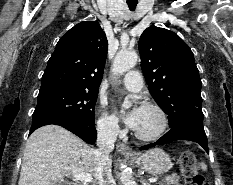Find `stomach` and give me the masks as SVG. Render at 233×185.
<instances>
[{"label":"stomach","mask_w":233,"mask_h":185,"mask_svg":"<svg viewBox=\"0 0 233 185\" xmlns=\"http://www.w3.org/2000/svg\"><path fill=\"white\" fill-rule=\"evenodd\" d=\"M130 159L151 174H163L172 167L171 158L160 148H152L139 156H131Z\"/></svg>","instance_id":"1"}]
</instances>
